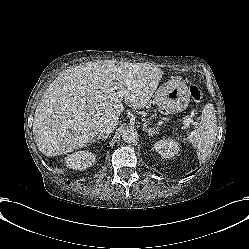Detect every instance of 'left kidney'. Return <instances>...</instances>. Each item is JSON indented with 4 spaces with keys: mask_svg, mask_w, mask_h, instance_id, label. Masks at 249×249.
<instances>
[{
    "mask_svg": "<svg viewBox=\"0 0 249 249\" xmlns=\"http://www.w3.org/2000/svg\"><path fill=\"white\" fill-rule=\"evenodd\" d=\"M153 148L165 159L174 157L180 150L179 143L172 138L159 140L154 144Z\"/></svg>",
    "mask_w": 249,
    "mask_h": 249,
    "instance_id": "5707ae66",
    "label": "left kidney"
}]
</instances>
